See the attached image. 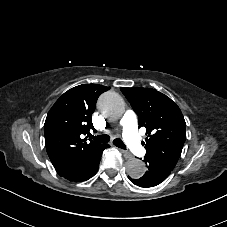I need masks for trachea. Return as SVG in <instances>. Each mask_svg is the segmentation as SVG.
<instances>
[{
  "mask_svg": "<svg viewBox=\"0 0 227 227\" xmlns=\"http://www.w3.org/2000/svg\"><path fill=\"white\" fill-rule=\"evenodd\" d=\"M92 139H94L96 142H99V143H108L110 141V136L109 135H99V136L92 135ZM113 144L124 150L126 149L125 144L122 142L120 138L114 139Z\"/></svg>",
  "mask_w": 227,
  "mask_h": 227,
  "instance_id": "1",
  "label": "trachea"
}]
</instances>
